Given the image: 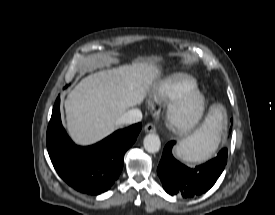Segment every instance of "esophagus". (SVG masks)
I'll use <instances>...</instances> for the list:
<instances>
[{
    "instance_id": "esophagus-1",
    "label": "esophagus",
    "mask_w": 275,
    "mask_h": 215,
    "mask_svg": "<svg viewBox=\"0 0 275 215\" xmlns=\"http://www.w3.org/2000/svg\"><path fill=\"white\" fill-rule=\"evenodd\" d=\"M144 131L147 133H154L156 132V126L152 123H148L145 125Z\"/></svg>"
}]
</instances>
